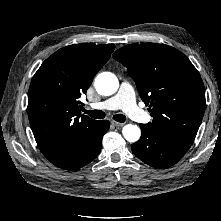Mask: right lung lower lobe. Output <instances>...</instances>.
<instances>
[{"label":"right lung lower lobe","mask_w":221,"mask_h":221,"mask_svg":"<svg viewBox=\"0 0 221 221\" xmlns=\"http://www.w3.org/2000/svg\"><path fill=\"white\" fill-rule=\"evenodd\" d=\"M109 121H96L91 125L82 138L80 153L77 156H60L48 159L55 166L65 170L79 169L92 160L100 153L103 135L108 131Z\"/></svg>","instance_id":"98d812e1"}]
</instances>
